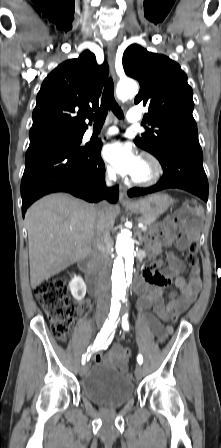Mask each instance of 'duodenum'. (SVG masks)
Segmentation results:
<instances>
[{"label":"duodenum","instance_id":"410a0bca","mask_svg":"<svg viewBox=\"0 0 221 448\" xmlns=\"http://www.w3.org/2000/svg\"><path fill=\"white\" fill-rule=\"evenodd\" d=\"M79 268L87 277L89 293L95 295L98 290V281L95 268L89 255L80 260Z\"/></svg>","mask_w":221,"mask_h":448}]
</instances>
